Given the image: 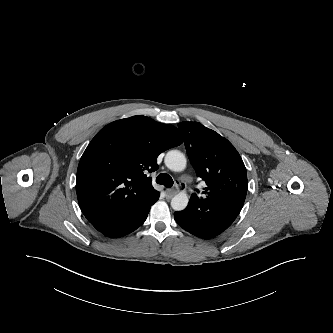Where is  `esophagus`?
<instances>
[{
    "label": "esophagus",
    "instance_id": "34e87169",
    "mask_svg": "<svg viewBox=\"0 0 333 333\" xmlns=\"http://www.w3.org/2000/svg\"><path fill=\"white\" fill-rule=\"evenodd\" d=\"M177 193L176 189H168L166 191L167 198H172Z\"/></svg>",
    "mask_w": 333,
    "mask_h": 333
}]
</instances>
